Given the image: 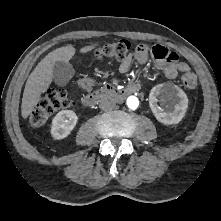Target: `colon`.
Instances as JSON below:
<instances>
[{
    "label": "colon",
    "instance_id": "1",
    "mask_svg": "<svg viewBox=\"0 0 221 221\" xmlns=\"http://www.w3.org/2000/svg\"><path fill=\"white\" fill-rule=\"evenodd\" d=\"M132 49V44L128 40H119L117 42L108 43L95 49V55L99 58H110L123 60ZM182 84L189 90L197 87V77L193 72H185L181 76ZM77 86L88 93L95 86V80L91 75L81 76L77 80ZM73 101L68 93L64 90H49L37 103L30 116V124L33 127H41L46 124L48 118L55 111L69 107Z\"/></svg>",
    "mask_w": 221,
    "mask_h": 221
}]
</instances>
